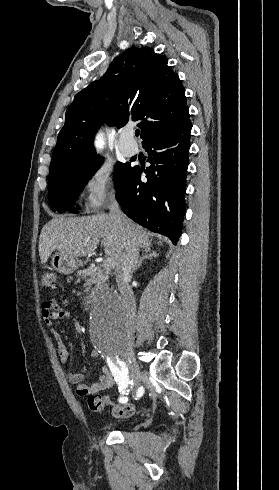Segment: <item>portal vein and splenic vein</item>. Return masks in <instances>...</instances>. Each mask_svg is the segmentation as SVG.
Returning <instances> with one entry per match:
<instances>
[{"label": "portal vein and splenic vein", "mask_w": 279, "mask_h": 490, "mask_svg": "<svg viewBox=\"0 0 279 490\" xmlns=\"http://www.w3.org/2000/svg\"><path fill=\"white\" fill-rule=\"evenodd\" d=\"M103 266H105V268H114L115 264L112 258H106V260L103 262Z\"/></svg>", "instance_id": "18ae733b"}]
</instances>
